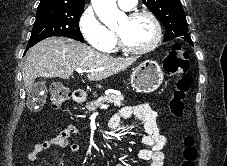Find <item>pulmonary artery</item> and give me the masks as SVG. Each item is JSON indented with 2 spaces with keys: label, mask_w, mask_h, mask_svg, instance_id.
<instances>
[{
  "label": "pulmonary artery",
  "mask_w": 227,
  "mask_h": 166,
  "mask_svg": "<svg viewBox=\"0 0 227 166\" xmlns=\"http://www.w3.org/2000/svg\"><path fill=\"white\" fill-rule=\"evenodd\" d=\"M136 1L137 0H118V4L123 10H130L135 6Z\"/></svg>",
  "instance_id": "1"
}]
</instances>
